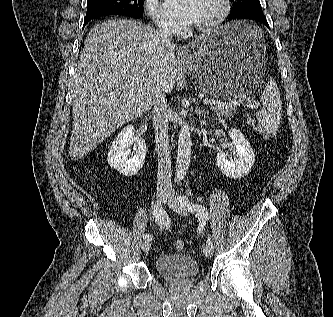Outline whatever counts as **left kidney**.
<instances>
[{"label":"left kidney","instance_id":"obj_1","mask_svg":"<svg viewBox=\"0 0 333 317\" xmlns=\"http://www.w3.org/2000/svg\"><path fill=\"white\" fill-rule=\"evenodd\" d=\"M229 136L232 139L236 157L229 159L224 152H218L217 165L227 177L242 178L251 170L255 161V154L249 141L240 130L232 128L229 130Z\"/></svg>","mask_w":333,"mask_h":317}]
</instances>
